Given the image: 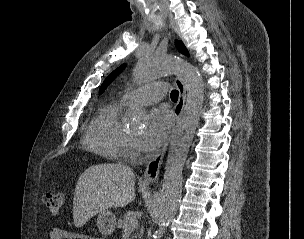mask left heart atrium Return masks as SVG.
I'll return each mask as SVG.
<instances>
[{"instance_id": "left-heart-atrium-1", "label": "left heart atrium", "mask_w": 304, "mask_h": 239, "mask_svg": "<svg viewBox=\"0 0 304 239\" xmlns=\"http://www.w3.org/2000/svg\"><path fill=\"white\" fill-rule=\"evenodd\" d=\"M172 126V117L166 108L156 109L150 118L145 131L138 138L141 150L151 152L156 150L165 140Z\"/></svg>"}]
</instances>
